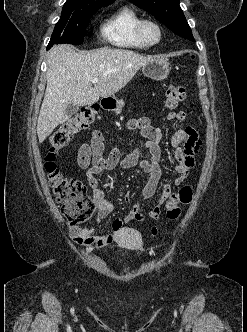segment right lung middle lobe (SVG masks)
Masks as SVG:
<instances>
[{
	"label": "right lung middle lobe",
	"instance_id": "dd1d6c3e",
	"mask_svg": "<svg viewBox=\"0 0 247 332\" xmlns=\"http://www.w3.org/2000/svg\"><path fill=\"white\" fill-rule=\"evenodd\" d=\"M107 5L109 4H77L66 2L48 46L51 47L54 44L60 43L82 44L90 18L101 7Z\"/></svg>",
	"mask_w": 247,
	"mask_h": 332
}]
</instances>
